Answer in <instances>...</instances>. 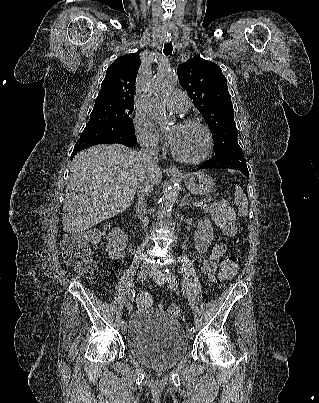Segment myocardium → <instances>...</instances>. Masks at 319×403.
<instances>
[{"label": "myocardium", "mask_w": 319, "mask_h": 403, "mask_svg": "<svg viewBox=\"0 0 319 403\" xmlns=\"http://www.w3.org/2000/svg\"><path fill=\"white\" fill-rule=\"evenodd\" d=\"M181 124L186 125V126H196V127L200 128L205 135L206 147H205L204 152L196 158L183 157V156L179 155L172 147L171 153H172L173 158L175 160L185 163V164H198V163L205 161L209 157V155L211 154L212 149H213V137H212L210 129L208 128L207 125H205L204 123H202L198 120H195V119H183Z\"/></svg>", "instance_id": "f54148a6"}]
</instances>
